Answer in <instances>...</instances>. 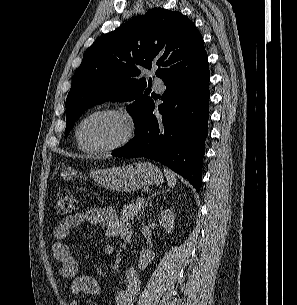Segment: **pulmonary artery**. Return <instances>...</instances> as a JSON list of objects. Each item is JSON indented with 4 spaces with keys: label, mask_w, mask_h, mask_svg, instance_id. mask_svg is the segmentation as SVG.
Listing matches in <instances>:
<instances>
[{
    "label": "pulmonary artery",
    "mask_w": 297,
    "mask_h": 305,
    "mask_svg": "<svg viewBox=\"0 0 297 305\" xmlns=\"http://www.w3.org/2000/svg\"><path fill=\"white\" fill-rule=\"evenodd\" d=\"M153 85L157 88V89H163V82L161 79L155 78L153 80Z\"/></svg>",
    "instance_id": "obj_1"
}]
</instances>
